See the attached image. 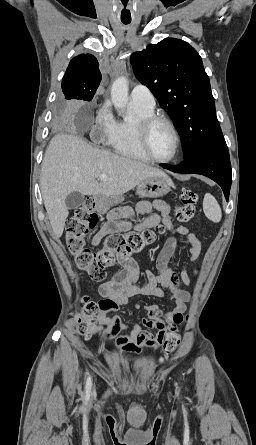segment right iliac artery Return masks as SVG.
Segmentation results:
<instances>
[{
	"label": "right iliac artery",
	"instance_id": "82829eb1",
	"mask_svg": "<svg viewBox=\"0 0 256 445\" xmlns=\"http://www.w3.org/2000/svg\"><path fill=\"white\" fill-rule=\"evenodd\" d=\"M91 385H92L91 377H88V379H87V381H86V387H85V389H86V393H87V394H88V393L90 392V390H91Z\"/></svg>",
	"mask_w": 256,
	"mask_h": 445
}]
</instances>
